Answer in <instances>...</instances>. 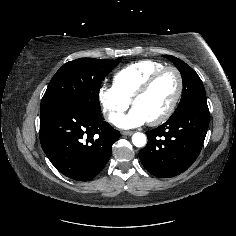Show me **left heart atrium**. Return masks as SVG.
Segmentation results:
<instances>
[{
  "instance_id": "obj_1",
  "label": "left heart atrium",
  "mask_w": 236,
  "mask_h": 236,
  "mask_svg": "<svg viewBox=\"0 0 236 236\" xmlns=\"http://www.w3.org/2000/svg\"><path fill=\"white\" fill-rule=\"evenodd\" d=\"M120 128H134L148 122L142 112L133 107L128 114L117 116L113 121Z\"/></svg>"
}]
</instances>
